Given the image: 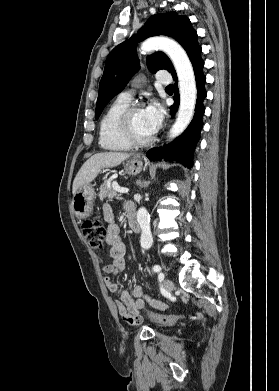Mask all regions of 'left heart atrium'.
Listing matches in <instances>:
<instances>
[{
    "instance_id": "1",
    "label": "left heart atrium",
    "mask_w": 279,
    "mask_h": 391,
    "mask_svg": "<svg viewBox=\"0 0 279 391\" xmlns=\"http://www.w3.org/2000/svg\"><path fill=\"white\" fill-rule=\"evenodd\" d=\"M144 110L152 129L155 131L163 118L162 107L157 102L153 101L149 103Z\"/></svg>"
}]
</instances>
